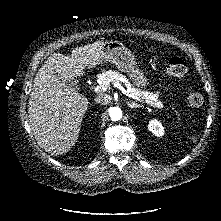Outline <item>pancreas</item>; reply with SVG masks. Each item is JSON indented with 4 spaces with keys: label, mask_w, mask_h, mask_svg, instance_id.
I'll list each match as a JSON object with an SVG mask.
<instances>
[{
    "label": "pancreas",
    "mask_w": 221,
    "mask_h": 221,
    "mask_svg": "<svg viewBox=\"0 0 221 221\" xmlns=\"http://www.w3.org/2000/svg\"><path fill=\"white\" fill-rule=\"evenodd\" d=\"M99 80L104 84L105 86H109L111 82H119L123 81L125 86L129 88L130 92L132 94H136L139 98L147 102L148 104L152 106H156V104H161L159 101V93H153V92H148V91H143L140 89H137L133 87L129 81L126 79V77L122 74H120L117 71H104L98 76Z\"/></svg>",
    "instance_id": "obj_1"
}]
</instances>
